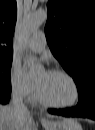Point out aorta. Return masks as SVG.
I'll list each match as a JSON object with an SVG mask.
<instances>
[{"label":"aorta","mask_w":95,"mask_h":130,"mask_svg":"<svg viewBox=\"0 0 95 130\" xmlns=\"http://www.w3.org/2000/svg\"><path fill=\"white\" fill-rule=\"evenodd\" d=\"M46 20V11H38L26 16L21 26V38L23 41H26L35 30L46 22Z\"/></svg>","instance_id":"1"}]
</instances>
